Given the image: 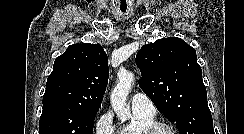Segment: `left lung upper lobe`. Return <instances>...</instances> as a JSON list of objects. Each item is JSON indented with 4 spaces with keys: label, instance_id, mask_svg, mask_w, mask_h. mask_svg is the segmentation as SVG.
<instances>
[{
    "label": "left lung upper lobe",
    "instance_id": "1",
    "mask_svg": "<svg viewBox=\"0 0 244 134\" xmlns=\"http://www.w3.org/2000/svg\"><path fill=\"white\" fill-rule=\"evenodd\" d=\"M139 86L181 134H214L196 51L176 37L142 46L136 55Z\"/></svg>",
    "mask_w": 244,
    "mask_h": 134
}]
</instances>
